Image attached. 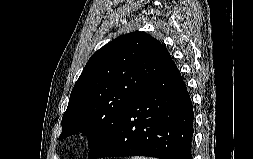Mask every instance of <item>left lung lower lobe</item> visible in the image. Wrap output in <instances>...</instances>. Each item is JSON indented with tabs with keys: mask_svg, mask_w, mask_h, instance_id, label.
Masks as SVG:
<instances>
[{
	"mask_svg": "<svg viewBox=\"0 0 253 159\" xmlns=\"http://www.w3.org/2000/svg\"><path fill=\"white\" fill-rule=\"evenodd\" d=\"M193 108L186 85L172 61L121 112L90 159L150 156L191 159Z\"/></svg>",
	"mask_w": 253,
	"mask_h": 159,
	"instance_id": "obj_1",
	"label": "left lung lower lobe"
}]
</instances>
